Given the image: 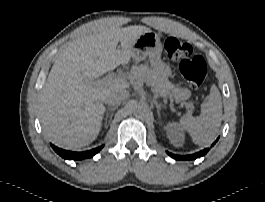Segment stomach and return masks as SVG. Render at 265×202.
<instances>
[{"instance_id":"1","label":"stomach","mask_w":265,"mask_h":202,"mask_svg":"<svg viewBox=\"0 0 265 202\" xmlns=\"http://www.w3.org/2000/svg\"><path fill=\"white\" fill-rule=\"evenodd\" d=\"M162 43L157 33L148 31L141 34L133 44V58L136 61H142L148 57L153 70L159 73L162 77L171 76L172 70L170 66L161 60ZM176 101H179L177 93L171 95Z\"/></svg>"}]
</instances>
